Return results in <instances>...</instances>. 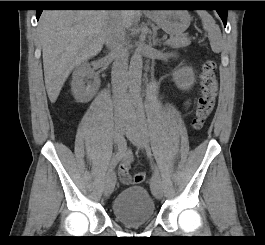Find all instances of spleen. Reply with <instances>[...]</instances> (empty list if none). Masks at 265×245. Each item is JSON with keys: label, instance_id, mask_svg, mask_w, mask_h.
I'll return each mask as SVG.
<instances>
[{"label": "spleen", "instance_id": "1", "mask_svg": "<svg viewBox=\"0 0 265 245\" xmlns=\"http://www.w3.org/2000/svg\"><path fill=\"white\" fill-rule=\"evenodd\" d=\"M197 13L202 20L204 30L208 33V38L213 52L219 53L223 48L220 28L216 25L214 19L208 12L200 10L197 11Z\"/></svg>", "mask_w": 265, "mask_h": 245}]
</instances>
